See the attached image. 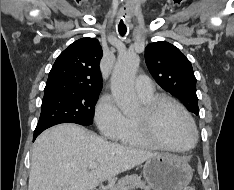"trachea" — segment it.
<instances>
[{"label": "trachea", "mask_w": 234, "mask_h": 190, "mask_svg": "<svg viewBox=\"0 0 234 190\" xmlns=\"http://www.w3.org/2000/svg\"><path fill=\"white\" fill-rule=\"evenodd\" d=\"M118 31H119V34H120L121 36H124V35L126 34V31H127L126 25H124L123 23H120V24L118 25Z\"/></svg>", "instance_id": "trachea-1"}]
</instances>
